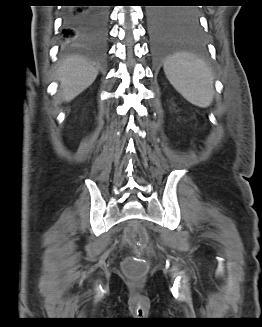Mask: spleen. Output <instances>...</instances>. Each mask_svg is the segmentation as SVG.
<instances>
[{
	"mask_svg": "<svg viewBox=\"0 0 262 327\" xmlns=\"http://www.w3.org/2000/svg\"><path fill=\"white\" fill-rule=\"evenodd\" d=\"M173 87L190 103L208 107L213 101V76L207 64L192 55L179 53L164 64Z\"/></svg>",
	"mask_w": 262,
	"mask_h": 327,
	"instance_id": "1",
	"label": "spleen"
}]
</instances>
